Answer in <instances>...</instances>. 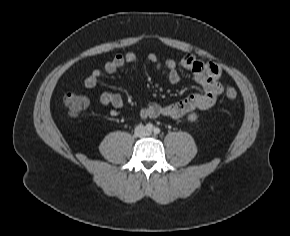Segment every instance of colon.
Listing matches in <instances>:
<instances>
[{
    "label": "colon",
    "mask_w": 290,
    "mask_h": 236,
    "mask_svg": "<svg viewBox=\"0 0 290 236\" xmlns=\"http://www.w3.org/2000/svg\"><path fill=\"white\" fill-rule=\"evenodd\" d=\"M225 96L229 100H235L238 93L234 88H228L225 92ZM63 101L68 113L73 117L79 116L89 106V100L83 92L67 93L65 94Z\"/></svg>",
    "instance_id": "1"
}]
</instances>
